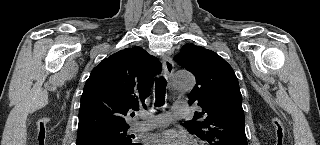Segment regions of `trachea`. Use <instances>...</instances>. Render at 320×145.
<instances>
[{"mask_svg": "<svg viewBox=\"0 0 320 145\" xmlns=\"http://www.w3.org/2000/svg\"><path fill=\"white\" fill-rule=\"evenodd\" d=\"M167 81L164 77L156 78L155 80V106L160 107L165 104Z\"/></svg>", "mask_w": 320, "mask_h": 145, "instance_id": "obj_1", "label": "trachea"}]
</instances>
